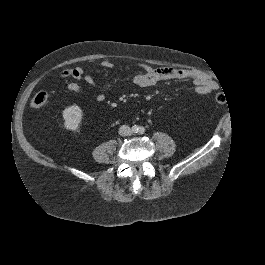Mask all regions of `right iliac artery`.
<instances>
[{
    "label": "right iliac artery",
    "instance_id": "1",
    "mask_svg": "<svg viewBox=\"0 0 265 265\" xmlns=\"http://www.w3.org/2000/svg\"><path fill=\"white\" fill-rule=\"evenodd\" d=\"M133 130H135V131H136V127H134V128H133Z\"/></svg>",
    "mask_w": 265,
    "mask_h": 265
}]
</instances>
